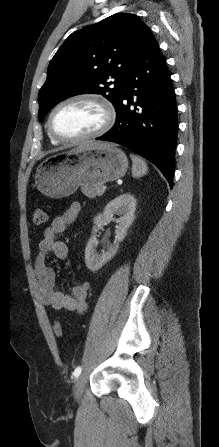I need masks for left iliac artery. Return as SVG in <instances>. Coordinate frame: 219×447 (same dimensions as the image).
<instances>
[{"mask_svg":"<svg viewBox=\"0 0 219 447\" xmlns=\"http://www.w3.org/2000/svg\"><path fill=\"white\" fill-rule=\"evenodd\" d=\"M81 371H82V368L80 366H78L73 372L74 377L78 378L79 375L81 374Z\"/></svg>","mask_w":219,"mask_h":447,"instance_id":"44dca946","label":"left iliac artery"}]
</instances>
